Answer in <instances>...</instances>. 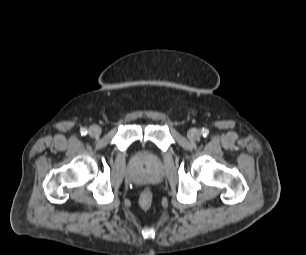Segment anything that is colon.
Wrapping results in <instances>:
<instances>
[{
  "label": "colon",
  "instance_id": "5ec220e1",
  "mask_svg": "<svg viewBox=\"0 0 306 255\" xmlns=\"http://www.w3.org/2000/svg\"><path fill=\"white\" fill-rule=\"evenodd\" d=\"M153 196L149 188H145L139 196V204L141 208L149 210L152 207Z\"/></svg>",
  "mask_w": 306,
  "mask_h": 255
}]
</instances>
